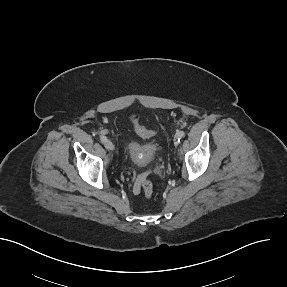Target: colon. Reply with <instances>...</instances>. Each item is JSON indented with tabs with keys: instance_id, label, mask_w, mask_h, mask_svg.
Returning <instances> with one entry per match:
<instances>
[{
	"instance_id": "1",
	"label": "colon",
	"mask_w": 287,
	"mask_h": 287,
	"mask_svg": "<svg viewBox=\"0 0 287 287\" xmlns=\"http://www.w3.org/2000/svg\"><path fill=\"white\" fill-rule=\"evenodd\" d=\"M129 121L132 125L133 131L141 138H151L156 134L154 129H149L141 125L137 115H131L129 117ZM136 187L141 190L147 198H151L154 194L153 185L146 174H142L139 177Z\"/></svg>"
}]
</instances>
